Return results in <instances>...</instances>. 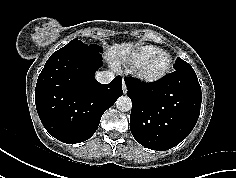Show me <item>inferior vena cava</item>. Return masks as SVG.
<instances>
[{
  "label": "inferior vena cava",
  "instance_id": "602c4592",
  "mask_svg": "<svg viewBox=\"0 0 236 178\" xmlns=\"http://www.w3.org/2000/svg\"><path fill=\"white\" fill-rule=\"evenodd\" d=\"M114 77L115 74L112 71H101L95 75L96 80L102 84L110 83Z\"/></svg>",
  "mask_w": 236,
  "mask_h": 178
}]
</instances>
